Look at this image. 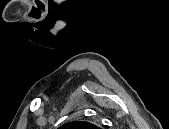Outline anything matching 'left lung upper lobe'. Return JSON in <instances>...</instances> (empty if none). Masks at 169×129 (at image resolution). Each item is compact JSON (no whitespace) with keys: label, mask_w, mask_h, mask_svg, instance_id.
Here are the masks:
<instances>
[{"label":"left lung upper lobe","mask_w":169,"mask_h":129,"mask_svg":"<svg viewBox=\"0 0 169 129\" xmlns=\"http://www.w3.org/2000/svg\"><path fill=\"white\" fill-rule=\"evenodd\" d=\"M62 129H97L98 127L86 121L69 122L61 126Z\"/></svg>","instance_id":"left-lung-upper-lobe-1"}]
</instances>
